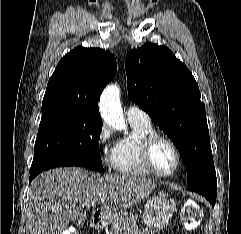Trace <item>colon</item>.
I'll list each match as a JSON object with an SVG mask.
<instances>
[{"instance_id": "5ec220e1", "label": "colon", "mask_w": 241, "mask_h": 234, "mask_svg": "<svg viewBox=\"0 0 241 234\" xmlns=\"http://www.w3.org/2000/svg\"><path fill=\"white\" fill-rule=\"evenodd\" d=\"M201 218L202 210L200 206L194 202L187 204L182 211V223L188 230L196 228ZM68 234H75V232L74 230H69Z\"/></svg>"}]
</instances>
